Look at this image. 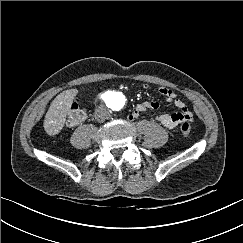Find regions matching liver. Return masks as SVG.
<instances>
[{
    "instance_id": "6515ba94",
    "label": "liver",
    "mask_w": 243,
    "mask_h": 243,
    "mask_svg": "<svg viewBox=\"0 0 243 243\" xmlns=\"http://www.w3.org/2000/svg\"><path fill=\"white\" fill-rule=\"evenodd\" d=\"M76 95V89L65 90L51 102L44 119V129L48 135H56L62 130Z\"/></svg>"
}]
</instances>
